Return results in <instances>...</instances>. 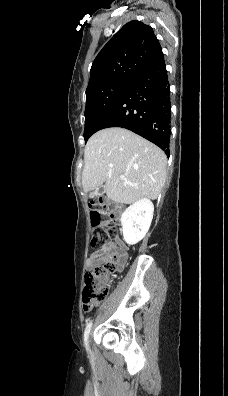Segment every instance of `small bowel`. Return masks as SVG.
Listing matches in <instances>:
<instances>
[{
	"mask_svg": "<svg viewBox=\"0 0 228 396\" xmlns=\"http://www.w3.org/2000/svg\"><path fill=\"white\" fill-rule=\"evenodd\" d=\"M111 249H112L111 246L109 244H106L97 251L93 252L86 260L87 268L92 269L95 266L106 262L108 260ZM124 264H125V257L123 258L120 267H123Z\"/></svg>",
	"mask_w": 228,
	"mask_h": 396,
	"instance_id": "c3829d8e",
	"label": "small bowel"
}]
</instances>
